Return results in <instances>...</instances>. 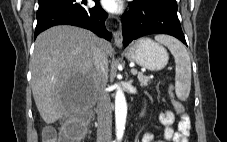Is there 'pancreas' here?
Wrapping results in <instances>:
<instances>
[{
  "mask_svg": "<svg viewBox=\"0 0 227 142\" xmlns=\"http://www.w3.org/2000/svg\"><path fill=\"white\" fill-rule=\"evenodd\" d=\"M137 78L141 86H147L150 84V78L142 73H139Z\"/></svg>",
  "mask_w": 227,
  "mask_h": 142,
  "instance_id": "1",
  "label": "pancreas"
}]
</instances>
